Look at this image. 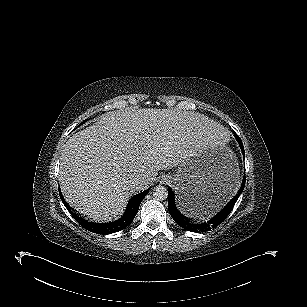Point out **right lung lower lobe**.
<instances>
[{"label": "right lung lower lobe", "instance_id": "98d812e1", "mask_svg": "<svg viewBox=\"0 0 307 307\" xmlns=\"http://www.w3.org/2000/svg\"><path fill=\"white\" fill-rule=\"evenodd\" d=\"M148 192H149V189L133 196L129 200L126 211H125L124 215L122 216V218H120L117 221L110 222V223H93V222H89V221L79 217L78 214L73 213L69 209L67 203L64 201L63 196L61 195V192H59V195L61 197L62 202L64 203V205L66 206V208L70 212V214L73 216V218L81 226H83L84 228H86L87 230H89L93 233L106 235V234L119 232V231L125 229L133 221V219L135 218V216L138 212L141 201L148 194Z\"/></svg>", "mask_w": 307, "mask_h": 307}]
</instances>
